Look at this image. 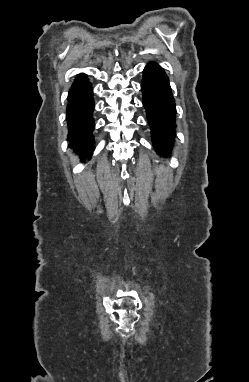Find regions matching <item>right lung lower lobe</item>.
<instances>
[{"label": "right lung lower lobe", "instance_id": "right-lung-lower-lobe-1", "mask_svg": "<svg viewBox=\"0 0 249 382\" xmlns=\"http://www.w3.org/2000/svg\"><path fill=\"white\" fill-rule=\"evenodd\" d=\"M94 109L93 89L86 75L76 77L68 95L67 124L69 128V147L82 153V161L89 158L94 150L92 117Z\"/></svg>", "mask_w": 249, "mask_h": 382}]
</instances>
